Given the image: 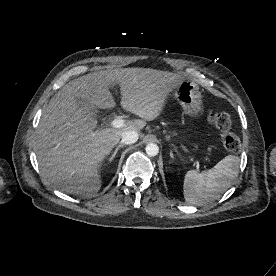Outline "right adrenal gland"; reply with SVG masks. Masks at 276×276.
<instances>
[{"mask_svg":"<svg viewBox=\"0 0 276 276\" xmlns=\"http://www.w3.org/2000/svg\"><path fill=\"white\" fill-rule=\"evenodd\" d=\"M123 146H124V144H122V142H120V144L116 147L114 153H113V154L111 155V157L109 158V162H111V161L115 158V156H116L118 150H119L120 148H122Z\"/></svg>","mask_w":276,"mask_h":276,"instance_id":"1","label":"right adrenal gland"}]
</instances>
